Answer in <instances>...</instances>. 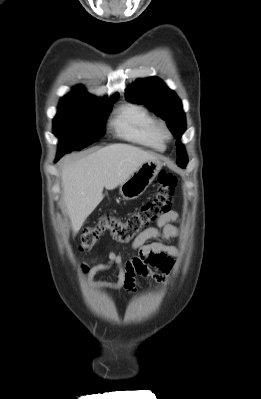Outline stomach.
Returning a JSON list of instances; mask_svg holds the SVG:
<instances>
[{"label": "stomach", "instance_id": "obj_1", "mask_svg": "<svg viewBox=\"0 0 261 399\" xmlns=\"http://www.w3.org/2000/svg\"><path fill=\"white\" fill-rule=\"evenodd\" d=\"M162 168V163L149 160L141 164L138 169L119 187L121 196L126 200H133L141 196L155 179Z\"/></svg>", "mask_w": 261, "mask_h": 399}]
</instances>
